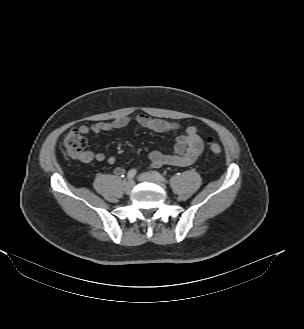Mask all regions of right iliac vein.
<instances>
[{"label":"right iliac vein","mask_w":304,"mask_h":329,"mask_svg":"<svg viewBox=\"0 0 304 329\" xmlns=\"http://www.w3.org/2000/svg\"><path fill=\"white\" fill-rule=\"evenodd\" d=\"M134 187V181L133 180H129L127 181L125 184H124V191L126 193H130L131 190L133 189Z\"/></svg>","instance_id":"1"}]
</instances>
